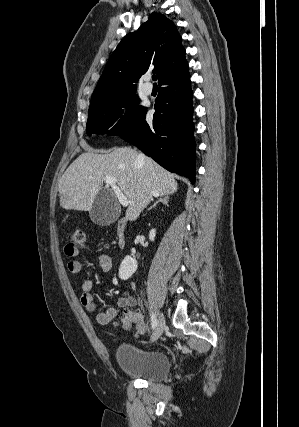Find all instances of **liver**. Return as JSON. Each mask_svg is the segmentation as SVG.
<instances>
[{
    "label": "liver",
    "mask_w": 299,
    "mask_h": 427,
    "mask_svg": "<svg viewBox=\"0 0 299 427\" xmlns=\"http://www.w3.org/2000/svg\"><path fill=\"white\" fill-rule=\"evenodd\" d=\"M130 147L115 148L109 154L85 152L62 175L58 191L64 209L90 211L105 177L115 178L129 201L126 219L136 220L153 197L173 194L178 184L174 176Z\"/></svg>",
    "instance_id": "liver-1"
}]
</instances>
